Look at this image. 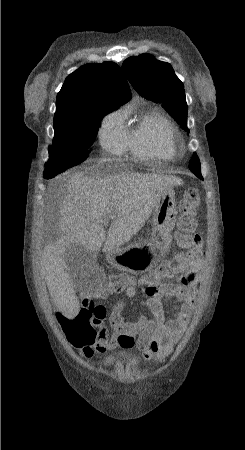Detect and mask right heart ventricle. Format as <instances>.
Instances as JSON below:
<instances>
[{
  "mask_svg": "<svg viewBox=\"0 0 245 450\" xmlns=\"http://www.w3.org/2000/svg\"><path fill=\"white\" fill-rule=\"evenodd\" d=\"M126 116L127 113L124 114ZM168 127L167 121L158 112L146 113L126 132L127 149L142 158H172L176 148Z\"/></svg>",
  "mask_w": 245,
  "mask_h": 450,
  "instance_id": "1",
  "label": "right heart ventricle"
}]
</instances>
